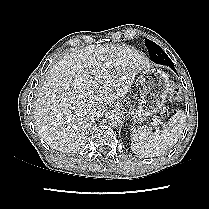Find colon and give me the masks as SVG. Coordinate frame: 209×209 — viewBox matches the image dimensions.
I'll return each instance as SVG.
<instances>
[{
  "label": "colon",
  "mask_w": 209,
  "mask_h": 209,
  "mask_svg": "<svg viewBox=\"0 0 209 209\" xmlns=\"http://www.w3.org/2000/svg\"><path fill=\"white\" fill-rule=\"evenodd\" d=\"M180 96H181L180 89L177 87H174L170 92V99L172 101H177V100H179Z\"/></svg>",
  "instance_id": "obj_1"
}]
</instances>
